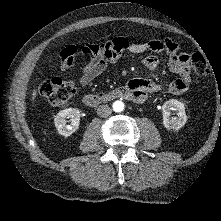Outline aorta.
Listing matches in <instances>:
<instances>
[{
	"label": "aorta",
	"mask_w": 221,
	"mask_h": 221,
	"mask_svg": "<svg viewBox=\"0 0 221 221\" xmlns=\"http://www.w3.org/2000/svg\"><path fill=\"white\" fill-rule=\"evenodd\" d=\"M124 109V103L122 101H115L113 103V110L115 112H121Z\"/></svg>",
	"instance_id": "obj_1"
}]
</instances>
